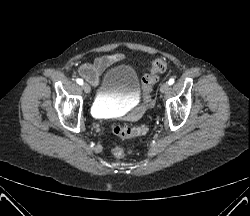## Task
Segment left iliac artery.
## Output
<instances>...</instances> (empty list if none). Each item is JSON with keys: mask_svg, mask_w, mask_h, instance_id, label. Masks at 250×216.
<instances>
[{"mask_svg": "<svg viewBox=\"0 0 250 216\" xmlns=\"http://www.w3.org/2000/svg\"><path fill=\"white\" fill-rule=\"evenodd\" d=\"M173 83H174V79L173 78L169 79L168 84L172 85Z\"/></svg>", "mask_w": 250, "mask_h": 216, "instance_id": "44dca946", "label": "left iliac artery"}]
</instances>
